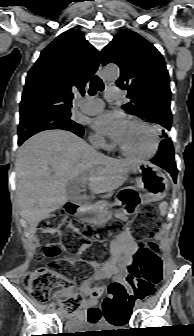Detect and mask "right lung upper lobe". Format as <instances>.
I'll return each instance as SVG.
<instances>
[{
    "label": "right lung upper lobe",
    "mask_w": 194,
    "mask_h": 336,
    "mask_svg": "<svg viewBox=\"0 0 194 336\" xmlns=\"http://www.w3.org/2000/svg\"><path fill=\"white\" fill-rule=\"evenodd\" d=\"M100 63V53L80 30L58 36L29 70L20 102V120L44 111L70 112L73 92L84 86Z\"/></svg>",
    "instance_id": "right-lung-upper-lobe-1"
}]
</instances>
